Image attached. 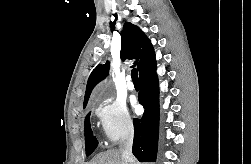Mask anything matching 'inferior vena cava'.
Listing matches in <instances>:
<instances>
[{
  "label": "inferior vena cava",
  "instance_id": "inferior-vena-cava-1",
  "mask_svg": "<svg viewBox=\"0 0 251 164\" xmlns=\"http://www.w3.org/2000/svg\"><path fill=\"white\" fill-rule=\"evenodd\" d=\"M133 136L134 129L133 126H130L126 134L124 135L120 145L122 158L125 161V164H136V161L132 154Z\"/></svg>",
  "mask_w": 251,
  "mask_h": 164
}]
</instances>
